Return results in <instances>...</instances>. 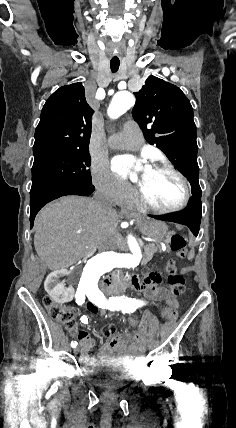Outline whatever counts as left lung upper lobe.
<instances>
[{"label":"left lung upper lobe","mask_w":236,"mask_h":428,"mask_svg":"<svg viewBox=\"0 0 236 428\" xmlns=\"http://www.w3.org/2000/svg\"><path fill=\"white\" fill-rule=\"evenodd\" d=\"M134 120L150 144L162 150L174 166L189 180L192 193L201 191L197 163L196 126L192 106L177 86L149 76L134 93ZM151 129H147V126Z\"/></svg>","instance_id":"left-lung-upper-lobe-1"}]
</instances>
